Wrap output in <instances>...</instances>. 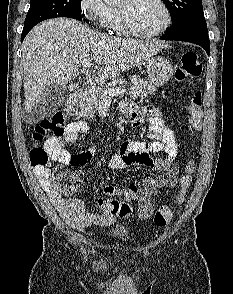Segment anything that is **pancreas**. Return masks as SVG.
I'll return each mask as SVG.
<instances>
[{"instance_id": "cf45deb5", "label": "pancreas", "mask_w": 233, "mask_h": 294, "mask_svg": "<svg viewBox=\"0 0 233 294\" xmlns=\"http://www.w3.org/2000/svg\"><path fill=\"white\" fill-rule=\"evenodd\" d=\"M132 86L128 89V95L133 99H144L148 95L154 94L156 88L149 81L141 79L139 76L134 75L131 77ZM114 88L118 89L120 86H116L115 84H111L106 88H92L89 91L85 92V97L79 107L78 114L81 117L86 119H90L93 117L96 110H98L101 103L107 97L105 94V89Z\"/></svg>"}]
</instances>
